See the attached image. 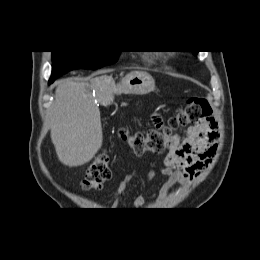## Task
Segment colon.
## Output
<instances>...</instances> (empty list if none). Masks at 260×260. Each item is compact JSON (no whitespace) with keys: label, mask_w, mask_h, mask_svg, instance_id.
<instances>
[{"label":"colon","mask_w":260,"mask_h":260,"mask_svg":"<svg viewBox=\"0 0 260 260\" xmlns=\"http://www.w3.org/2000/svg\"><path fill=\"white\" fill-rule=\"evenodd\" d=\"M212 110L204 98H191L187 105L172 116L168 125L153 127L146 132L132 133L127 129L120 130V137L125 140L136 156L149 152L162 154L174 137V130L211 118ZM109 157L106 153L99 154L87 167L81 186L85 190H98L103 183L111 178Z\"/></svg>","instance_id":"colon-1"}]
</instances>
